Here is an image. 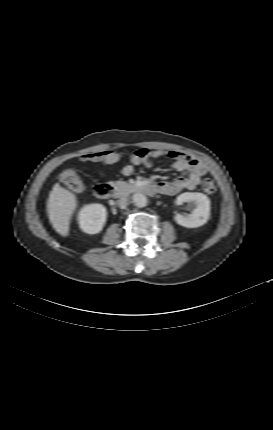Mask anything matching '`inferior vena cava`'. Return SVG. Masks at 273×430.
Instances as JSON below:
<instances>
[{"instance_id": "inferior-vena-cava-1", "label": "inferior vena cava", "mask_w": 273, "mask_h": 430, "mask_svg": "<svg viewBox=\"0 0 273 430\" xmlns=\"http://www.w3.org/2000/svg\"><path fill=\"white\" fill-rule=\"evenodd\" d=\"M118 205L121 209H125L126 206L128 205V199L126 197H121L118 200Z\"/></svg>"}]
</instances>
